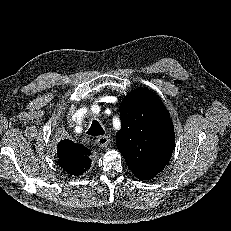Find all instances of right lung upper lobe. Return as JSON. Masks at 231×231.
<instances>
[{"label": "right lung upper lobe", "instance_id": "obj_1", "mask_svg": "<svg viewBox=\"0 0 231 231\" xmlns=\"http://www.w3.org/2000/svg\"><path fill=\"white\" fill-rule=\"evenodd\" d=\"M63 141L58 144L59 165L71 175H80L85 169L91 166V159L88 151H78L63 145Z\"/></svg>", "mask_w": 231, "mask_h": 231}]
</instances>
